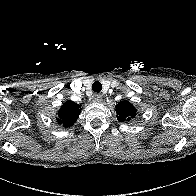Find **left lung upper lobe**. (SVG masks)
I'll return each instance as SVG.
<instances>
[{
	"instance_id": "5c2ea615",
	"label": "left lung upper lobe",
	"mask_w": 196,
	"mask_h": 196,
	"mask_svg": "<svg viewBox=\"0 0 196 196\" xmlns=\"http://www.w3.org/2000/svg\"><path fill=\"white\" fill-rule=\"evenodd\" d=\"M117 110V119L121 122L126 120H130L134 118L136 115V109L134 106L128 101H122L118 105H116Z\"/></svg>"
}]
</instances>
